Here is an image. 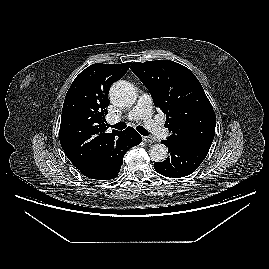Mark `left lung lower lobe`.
Masks as SVG:
<instances>
[{
  "label": "left lung lower lobe",
  "instance_id": "left-lung-lower-lobe-1",
  "mask_svg": "<svg viewBox=\"0 0 269 269\" xmlns=\"http://www.w3.org/2000/svg\"><path fill=\"white\" fill-rule=\"evenodd\" d=\"M168 147L170 156L163 162L154 163L155 170L166 177L180 178L194 172L208 154L209 147L179 146L162 140Z\"/></svg>",
  "mask_w": 269,
  "mask_h": 269
}]
</instances>
